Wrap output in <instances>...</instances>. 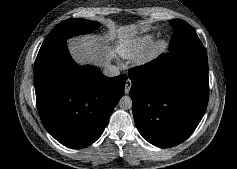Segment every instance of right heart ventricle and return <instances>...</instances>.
Masks as SVG:
<instances>
[{
    "instance_id": "1",
    "label": "right heart ventricle",
    "mask_w": 237,
    "mask_h": 169,
    "mask_svg": "<svg viewBox=\"0 0 237 169\" xmlns=\"http://www.w3.org/2000/svg\"><path fill=\"white\" fill-rule=\"evenodd\" d=\"M154 35L146 34L136 39L126 42L120 48V55L126 59H135L139 57L153 42Z\"/></svg>"
}]
</instances>
